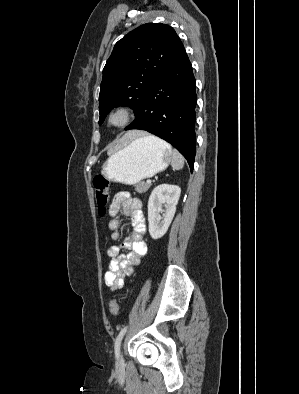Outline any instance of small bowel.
<instances>
[{
	"mask_svg": "<svg viewBox=\"0 0 299 394\" xmlns=\"http://www.w3.org/2000/svg\"><path fill=\"white\" fill-rule=\"evenodd\" d=\"M108 228L111 230V239L120 238L121 216L130 217L131 234L126 237L121 245H111L107 248V255L111 258L109 270L105 274V283L113 289L123 286L124 279L133 274L134 268L140 264L147 252L145 241L146 226L142 210V202L133 197L129 192L117 193L110 205ZM121 248L128 251L121 254Z\"/></svg>",
	"mask_w": 299,
	"mask_h": 394,
	"instance_id": "c3829d8e",
	"label": "small bowel"
}]
</instances>
